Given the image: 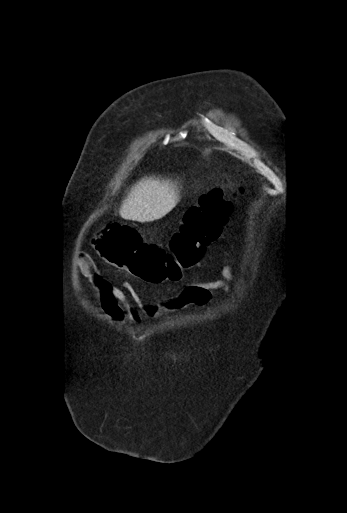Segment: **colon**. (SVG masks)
Masks as SVG:
<instances>
[{
  "label": "colon",
  "mask_w": 347,
  "mask_h": 513,
  "mask_svg": "<svg viewBox=\"0 0 347 513\" xmlns=\"http://www.w3.org/2000/svg\"><path fill=\"white\" fill-rule=\"evenodd\" d=\"M232 193L215 188L200 196L190 207L170 242V251L142 241L132 227L111 223L94 241L102 258L141 280L160 285L179 280L184 271L197 265L206 247L222 232L232 213Z\"/></svg>",
  "instance_id": "obj_1"
}]
</instances>
